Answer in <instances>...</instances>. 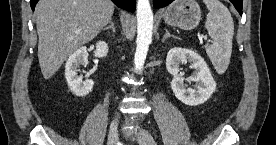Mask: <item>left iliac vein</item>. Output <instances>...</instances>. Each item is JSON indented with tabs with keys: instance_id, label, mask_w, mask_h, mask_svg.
I'll list each match as a JSON object with an SVG mask.
<instances>
[{
	"instance_id": "1",
	"label": "left iliac vein",
	"mask_w": 276,
	"mask_h": 145,
	"mask_svg": "<svg viewBox=\"0 0 276 145\" xmlns=\"http://www.w3.org/2000/svg\"><path fill=\"white\" fill-rule=\"evenodd\" d=\"M137 141L140 145H156L153 136L143 128H141L137 133Z\"/></svg>"
}]
</instances>
